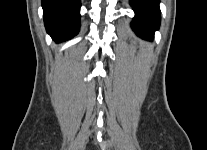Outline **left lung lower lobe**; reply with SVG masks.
Instances as JSON below:
<instances>
[{
  "label": "left lung lower lobe",
  "mask_w": 207,
  "mask_h": 150,
  "mask_svg": "<svg viewBox=\"0 0 207 150\" xmlns=\"http://www.w3.org/2000/svg\"><path fill=\"white\" fill-rule=\"evenodd\" d=\"M135 12L132 28L140 37L151 41L160 25L159 0H130Z\"/></svg>",
  "instance_id": "0a47b994"
}]
</instances>
